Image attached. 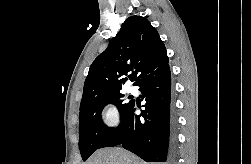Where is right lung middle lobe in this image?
Wrapping results in <instances>:
<instances>
[{
	"label": "right lung middle lobe",
	"instance_id": "right-lung-middle-lobe-1",
	"mask_svg": "<svg viewBox=\"0 0 251 164\" xmlns=\"http://www.w3.org/2000/svg\"><path fill=\"white\" fill-rule=\"evenodd\" d=\"M123 97L124 95L121 92L109 94L80 108L79 149L83 161L87 160L93 152L99 149L100 145L114 129L103 124L101 118L102 109L109 103L114 104L120 111L122 119L128 108L132 105V101L123 103Z\"/></svg>",
	"mask_w": 251,
	"mask_h": 164
}]
</instances>
